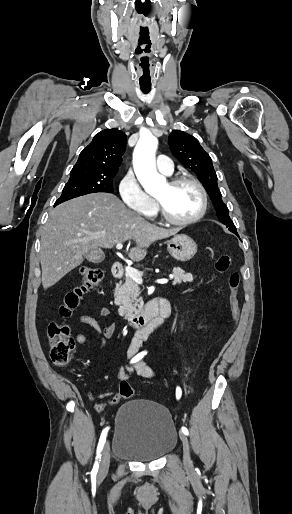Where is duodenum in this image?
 <instances>
[{"label": "duodenum", "instance_id": "obj_1", "mask_svg": "<svg viewBox=\"0 0 292 514\" xmlns=\"http://www.w3.org/2000/svg\"><path fill=\"white\" fill-rule=\"evenodd\" d=\"M114 278L121 279L125 275L124 267L116 263L112 267ZM171 315V304L169 300L163 296H157L149 300L141 311L134 317L130 318L126 326L131 330H137L149 333L164 326L165 320ZM164 321L161 325V321Z\"/></svg>", "mask_w": 292, "mask_h": 514}]
</instances>
